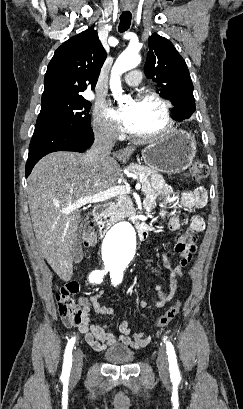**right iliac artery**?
<instances>
[{
  "mask_svg": "<svg viewBox=\"0 0 243 409\" xmlns=\"http://www.w3.org/2000/svg\"><path fill=\"white\" fill-rule=\"evenodd\" d=\"M108 272V269L105 270H95L90 273L89 275V281L91 283H101L103 280L104 275ZM75 343V338H71L68 341V344L65 349V354H64V362H63V370H62V380H68L69 375H70V369H71V364H72V349Z\"/></svg>",
  "mask_w": 243,
  "mask_h": 409,
  "instance_id": "right-iliac-artery-1",
  "label": "right iliac artery"
}]
</instances>
